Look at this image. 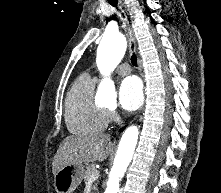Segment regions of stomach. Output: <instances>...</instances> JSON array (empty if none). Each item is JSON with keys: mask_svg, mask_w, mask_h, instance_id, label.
<instances>
[{"mask_svg": "<svg viewBox=\"0 0 221 193\" xmlns=\"http://www.w3.org/2000/svg\"><path fill=\"white\" fill-rule=\"evenodd\" d=\"M84 165H67L54 174V186L57 193H72L81 183Z\"/></svg>", "mask_w": 221, "mask_h": 193, "instance_id": "1", "label": "stomach"}]
</instances>
